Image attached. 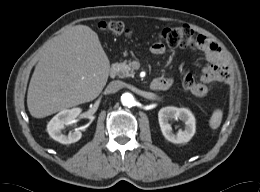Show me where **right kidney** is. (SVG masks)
I'll use <instances>...</instances> for the list:
<instances>
[{
  "label": "right kidney",
  "mask_w": 260,
  "mask_h": 192,
  "mask_svg": "<svg viewBox=\"0 0 260 192\" xmlns=\"http://www.w3.org/2000/svg\"><path fill=\"white\" fill-rule=\"evenodd\" d=\"M81 113L80 108L65 109L56 114L48 123L47 131L49 135L56 141L62 144H71L80 140L82 132L75 130L68 135L61 132L64 125L70 123Z\"/></svg>",
  "instance_id": "right-kidney-1"
}]
</instances>
